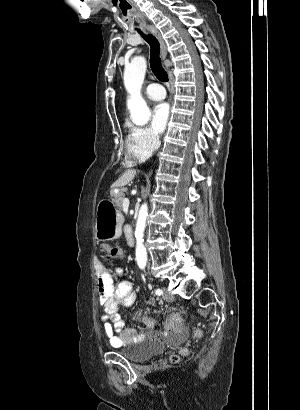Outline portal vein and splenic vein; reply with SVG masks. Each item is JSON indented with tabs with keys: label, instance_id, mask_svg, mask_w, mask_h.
<instances>
[{
	"label": "portal vein and splenic vein",
	"instance_id": "portal-vein-and-splenic-vein-1",
	"mask_svg": "<svg viewBox=\"0 0 300 410\" xmlns=\"http://www.w3.org/2000/svg\"><path fill=\"white\" fill-rule=\"evenodd\" d=\"M129 204H130L129 199H128V198H124L123 204H122L124 211H127V210H128Z\"/></svg>",
	"mask_w": 300,
	"mask_h": 410
}]
</instances>
